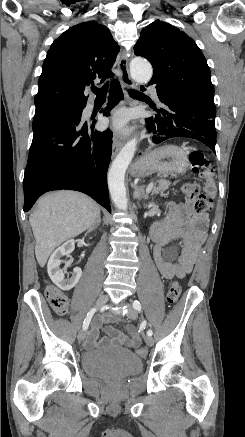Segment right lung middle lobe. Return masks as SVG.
Returning <instances> with one entry per match:
<instances>
[{
    "label": "right lung middle lobe",
    "instance_id": "1",
    "mask_svg": "<svg viewBox=\"0 0 245 437\" xmlns=\"http://www.w3.org/2000/svg\"><path fill=\"white\" fill-rule=\"evenodd\" d=\"M82 105L57 104L45 108L37 109L33 120V130L41 126L47 120L56 116H66L72 112L82 110Z\"/></svg>",
    "mask_w": 245,
    "mask_h": 437
}]
</instances>
